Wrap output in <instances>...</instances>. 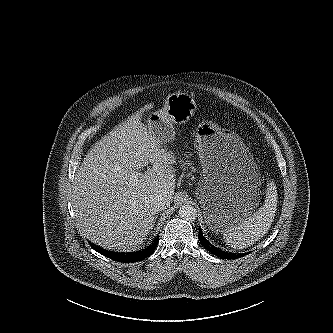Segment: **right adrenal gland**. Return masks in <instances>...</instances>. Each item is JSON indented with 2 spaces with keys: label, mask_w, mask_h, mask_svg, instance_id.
<instances>
[{
  "label": "right adrenal gland",
  "mask_w": 333,
  "mask_h": 333,
  "mask_svg": "<svg viewBox=\"0 0 333 333\" xmlns=\"http://www.w3.org/2000/svg\"><path fill=\"white\" fill-rule=\"evenodd\" d=\"M156 218H157V215L154 217V223H155Z\"/></svg>",
  "instance_id": "obj_1"
}]
</instances>
